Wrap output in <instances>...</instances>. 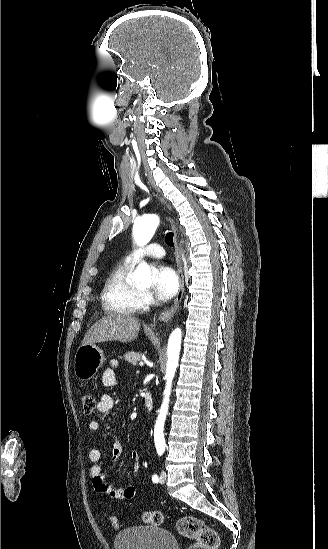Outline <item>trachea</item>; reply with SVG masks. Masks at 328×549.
<instances>
[{
    "label": "trachea",
    "instance_id": "obj_1",
    "mask_svg": "<svg viewBox=\"0 0 328 549\" xmlns=\"http://www.w3.org/2000/svg\"><path fill=\"white\" fill-rule=\"evenodd\" d=\"M173 238H174V234H173L172 232H168V233L166 234V243H167L170 247H174Z\"/></svg>",
    "mask_w": 328,
    "mask_h": 549
}]
</instances>
